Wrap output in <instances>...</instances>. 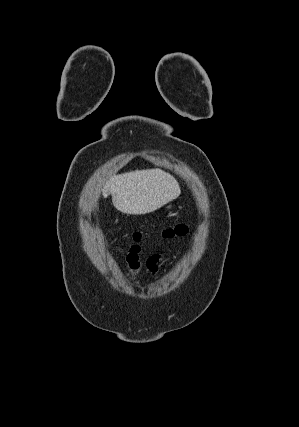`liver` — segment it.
Wrapping results in <instances>:
<instances>
[{
    "label": "liver",
    "mask_w": 299,
    "mask_h": 427,
    "mask_svg": "<svg viewBox=\"0 0 299 427\" xmlns=\"http://www.w3.org/2000/svg\"><path fill=\"white\" fill-rule=\"evenodd\" d=\"M181 193L176 179L160 169L136 170L115 175L102 189L112 195L114 207L122 213L140 215L153 212Z\"/></svg>",
    "instance_id": "obj_1"
}]
</instances>
